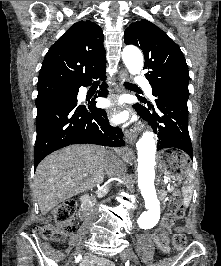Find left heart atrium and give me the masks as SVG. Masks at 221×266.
I'll list each match as a JSON object with an SVG mask.
<instances>
[{
  "label": "left heart atrium",
  "mask_w": 221,
  "mask_h": 266,
  "mask_svg": "<svg viewBox=\"0 0 221 266\" xmlns=\"http://www.w3.org/2000/svg\"><path fill=\"white\" fill-rule=\"evenodd\" d=\"M125 117H126L125 114H120V115L118 116V119H122V118H125Z\"/></svg>",
  "instance_id": "1"
}]
</instances>
